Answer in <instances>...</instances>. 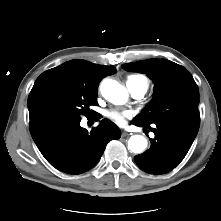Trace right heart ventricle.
I'll return each instance as SVG.
<instances>
[{"label":"right heart ventricle","instance_id":"right-heart-ventricle-1","mask_svg":"<svg viewBox=\"0 0 221 221\" xmlns=\"http://www.w3.org/2000/svg\"><path fill=\"white\" fill-rule=\"evenodd\" d=\"M136 85H141L143 87L148 88L149 80L143 75H131L128 77V82Z\"/></svg>","mask_w":221,"mask_h":221}]
</instances>
